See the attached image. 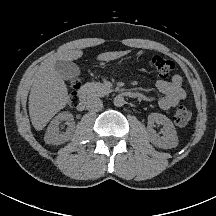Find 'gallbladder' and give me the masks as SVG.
<instances>
[{
	"label": "gallbladder",
	"mask_w": 216,
	"mask_h": 216,
	"mask_svg": "<svg viewBox=\"0 0 216 216\" xmlns=\"http://www.w3.org/2000/svg\"><path fill=\"white\" fill-rule=\"evenodd\" d=\"M54 69L64 80H71L80 75L78 65L71 61L58 60L55 63Z\"/></svg>",
	"instance_id": "obj_1"
}]
</instances>
